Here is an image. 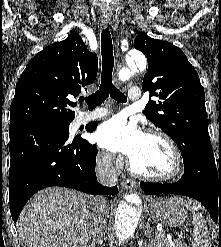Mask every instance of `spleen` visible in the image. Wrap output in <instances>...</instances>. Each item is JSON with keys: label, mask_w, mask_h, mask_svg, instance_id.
I'll return each mask as SVG.
<instances>
[{"label": "spleen", "mask_w": 221, "mask_h": 247, "mask_svg": "<svg viewBox=\"0 0 221 247\" xmlns=\"http://www.w3.org/2000/svg\"><path fill=\"white\" fill-rule=\"evenodd\" d=\"M187 206L191 208L193 214V247H211V242L209 241V234L207 232L206 221L203 219L201 213L197 212L191 204L187 203Z\"/></svg>", "instance_id": "obj_1"}]
</instances>
